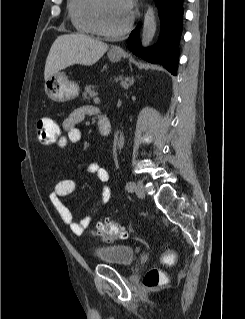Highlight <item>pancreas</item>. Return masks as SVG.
<instances>
[{"label":"pancreas","mask_w":245,"mask_h":319,"mask_svg":"<svg viewBox=\"0 0 245 319\" xmlns=\"http://www.w3.org/2000/svg\"><path fill=\"white\" fill-rule=\"evenodd\" d=\"M83 99L85 100H89L92 97L96 96V92H95V86L94 85H87L85 87V91L83 93Z\"/></svg>","instance_id":"1"}]
</instances>
